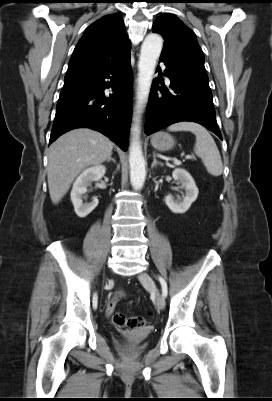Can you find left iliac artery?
Instances as JSON below:
<instances>
[{"label":"left iliac artery","mask_w":272,"mask_h":401,"mask_svg":"<svg viewBox=\"0 0 272 401\" xmlns=\"http://www.w3.org/2000/svg\"><path fill=\"white\" fill-rule=\"evenodd\" d=\"M159 281H160V284H161V287H162V296H163V298H165L167 296V294H168L167 283L164 280V278H162L161 276H159Z\"/></svg>","instance_id":"obj_1"}]
</instances>
